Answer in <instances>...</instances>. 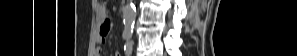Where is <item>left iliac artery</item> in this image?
Wrapping results in <instances>:
<instances>
[{"label": "left iliac artery", "instance_id": "left-iliac-artery-1", "mask_svg": "<svg viewBox=\"0 0 297 56\" xmlns=\"http://www.w3.org/2000/svg\"><path fill=\"white\" fill-rule=\"evenodd\" d=\"M132 45H133L132 42H127V44L124 46V50L127 56H130L132 54V50H133Z\"/></svg>", "mask_w": 297, "mask_h": 56}]
</instances>
